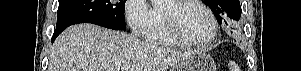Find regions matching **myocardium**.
<instances>
[{"mask_svg":"<svg viewBox=\"0 0 301 71\" xmlns=\"http://www.w3.org/2000/svg\"><path fill=\"white\" fill-rule=\"evenodd\" d=\"M169 3L173 4L175 7H182L187 4H194L201 7L207 16L210 19L212 25V31L210 36L202 42H196L189 40L183 33L179 23L175 20L171 12L167 11L164 7L162 8V13L167 25V28L173 38L184 46L195 47V48H204L212 44L215 40L217 33H218V23L217 20L212 13V11L202 2L199 0H169Z\"/></svg>","mask_w":301,"mask_h":71,"instance_id":"obj_1","label":"myocardium"}]
</instances>
